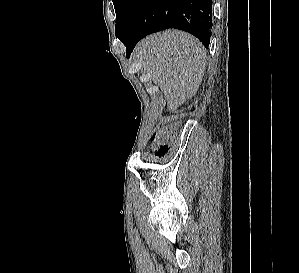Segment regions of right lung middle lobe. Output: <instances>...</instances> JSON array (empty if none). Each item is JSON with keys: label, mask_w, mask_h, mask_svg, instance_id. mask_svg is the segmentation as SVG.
Masks as SVG:
<instances>
[{"label": "right lung middle lobe", "mask_w": 299, "mask_h": 273, "mask_svg": "<svg viewBox=\"0 0 299 273\" xmlns=\"http://www.w3.org/2000/svg\"><path fill=\"white\" fill-rule=\"evenodd\" d=\"M112 1L116 12L115 33L117 37L134 0H112Z\"/></svg>", "instance_id": "1"}]
</instances>
